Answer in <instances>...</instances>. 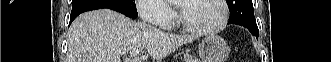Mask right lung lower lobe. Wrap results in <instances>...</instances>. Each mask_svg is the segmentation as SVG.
I'll use <instances>...</instances> for the list:
<instances>
[{
  "instance_id": "obj_1",
  "label": "right lung lower lobe",
  "mask_w": 331,
  "mask_h": 62,
  "mask_svg": "<svg viewBox=\"0 0 331 62\" xmlns=\"http://www.w3.org/2000/svg\"><path fill=\"white\" fill-rule=\"evenodd\" d=\"M83 12H85V11H82V12H77V13H73V14H71V17H70V24H71V22L79 15V14H81V13H83ZM119 12V11H118ZM121 13V12H120ZM69 24V25H70Z\"/></svg>"
}]
</instances>
